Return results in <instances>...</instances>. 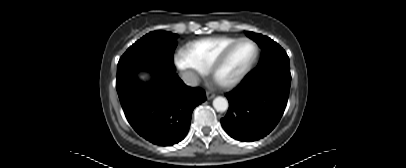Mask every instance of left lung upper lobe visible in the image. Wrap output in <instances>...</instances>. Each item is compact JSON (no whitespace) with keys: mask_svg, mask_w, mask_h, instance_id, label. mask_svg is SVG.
Wrapping results in <instances>:
<instances>
[{"mask_svg":"<svg viewBox=\"0 0 406 168\" xmlns=\"http://www.w3.org/2000/svg\"><path fill=\"white\" fill-rule=\"evenodd\" d=\"M246 34L262 48L261 59L257 67L274 66L290 71L289 58L280 45L261 34L253 32H246Z\"/></svg>","mask_w":406,"mask_h":168,"instance_id":"1","label":"left lung upper lobe"}]
</instances>
